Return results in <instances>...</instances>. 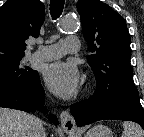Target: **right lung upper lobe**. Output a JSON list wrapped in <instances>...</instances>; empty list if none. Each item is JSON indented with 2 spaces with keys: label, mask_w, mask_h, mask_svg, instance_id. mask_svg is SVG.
<instances>
[{
  "label": "right lung upper lobe",
  "mask_w": 144,
  "mask_h": 137,
  "mask_svg": "<svg viewBox=\"0 0 144 137\" xmlns=\"http://www.w3.org/2000/svg\"><path fill=\"white\" fill-rule=\"evenodd\" d=\"M44 9L40 0H8L0 8V66L25 56V40L40 34Z\"/></svg>",
  "instance_id": "obj_1"
}]
</instances>
